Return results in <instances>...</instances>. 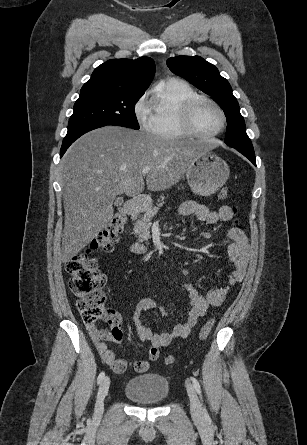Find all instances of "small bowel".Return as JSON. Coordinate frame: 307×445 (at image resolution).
Listing matches in <instances>:
<instances>
[{"label": "small bowel", "instance_id": "1", "mask_svg": "<svg viewBox=\"0 0 307 445\" xmlns=\"http://www.w3.org/2000/svg\"><path fill=\"white\" fill-rule=\"evenodd\" d=\"M180 213L183 216H194L197 220L211 225L219 221H230L235 215V210L230 206L224 205L218 211H211L202 204L188 200L180 206ZM228 237L231 242L228 245L227 253L234 269L229 274L227 284L220 288L210 289L206 294H202L192 284L185 283L183 287L188 296V310L186 319L183 322L172 326L165 332L153 333L144 325L142 316L145 312L156 307L155 300L143 298L136 304L132 320L138 337L141 340L149 341L148 358L150 361H156L159 358L160 349L169 345L174 339L186 338L198 320L207 313L208 309L220 306L230 292L231 287L243 280L250 257L248 238L238 227H232L228 231ZM159 310L162 317L168 316L166 305L160 306ZM88 329L103 362L115 373H123L127 368L126 360L117 358L105 343V341L109 340V331L97 329L94 325H89ZM148 367L149 362L147 360L142 359L134 362V368L138 373L147 371Z\"/></svg>", "mask_w": 307, "mask_h": 445}]
</instances>
